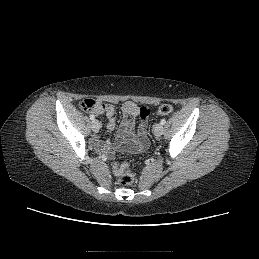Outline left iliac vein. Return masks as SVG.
I'll return each mask as SVG.
<instances>
[{
  "mask_svg": "<svg viewBox=\"0 0 259 259\" xmlns=\"http://www.w3.org/2000/svg\"><path fill=\"white\" fill-rule=\"evenodd\" d=\"M154 135L160 137L163 134V125L161 123L156 124L153 129Z\"/></svg>",
  "mask_w": 259,
  "mask_h": 259,
  "instance_id": "left-iliac-vein-1",
  "label": "left iliac vein"
}]
</instances>
